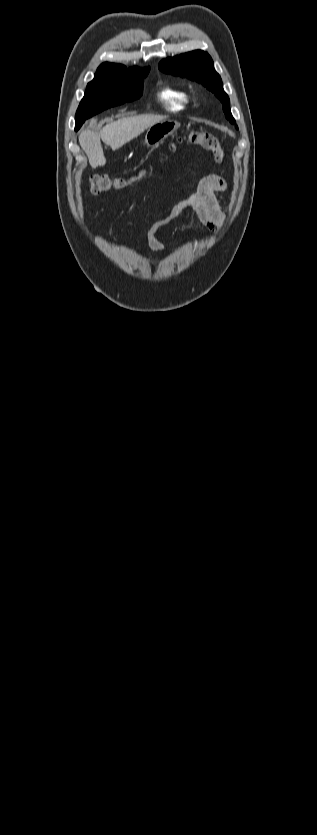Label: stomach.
<instances>
[{
    "label": "stomach",
    "instance_id": "stomach-1",
    "mask_svg": "<svg viewBox=\"0 0 317 835\" xmlns=\"http://www.w3.org/2000/svg\"><path fill=\"white\" fill-rule=\"evenodd\" d=\"M180 123L175 120H163L147 129L145 136V143L148 147L155 148L167 137L172 135L178 128Z\"/></svg>",
    "mask_w": 317,
    "mask_h": 835
}]
</instances>
